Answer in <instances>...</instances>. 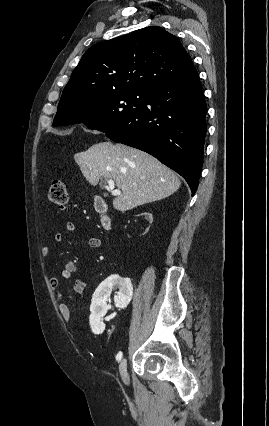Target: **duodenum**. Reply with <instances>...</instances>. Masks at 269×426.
Returning a JSON list of instances; mask_svg holds the SVG:
<instances>
[{
    "mask_svg": "<svg viewBox=\"0 0 269 426\" xmlns=\"http://www.w3.org/2000/svg\"><path fill=\"white\" fill-rule=\"evenodd\" d=\"M94 207L101 216L103 227L109 229L111 227V218L108 214L107 206L103 198L97 196L94 200Z\"/></svg>",
    "mask_w": 269,
    "mask_h": 426,
    "instance_id": "1",
    "label": "duodenum"
}]
</instances>
